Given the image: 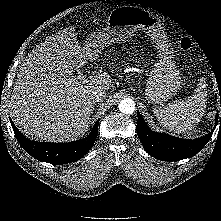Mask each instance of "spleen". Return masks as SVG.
Returning a JSON list of instances; mask_svg holds the SVG:
<instances>
[{"mask_svg": "<svg viewBox=\"0 0 221 221\" xmlns=\"http://www.w3.org/2000/svg\"><path fill=\"white\" fill-rule=\"evenodd\" d=\"M207 90L204 79H200L194 93L184 99L169 103L166 107L155 106L157 120L174 133L192 130L202 118L206 108Z\"/></svg>", "mask_w": 221, "mask_h": 221, "instance_id": "obj_1", "label": "spleen"}]
</instances>
